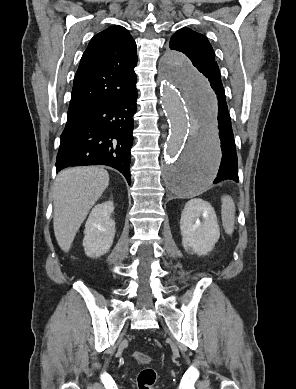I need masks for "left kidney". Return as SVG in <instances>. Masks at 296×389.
I'll return each mask as SVG.
<instances>
[{"label": "left kidney", "instance_id": "5707ae66", "mask_svg": "<svg viewBox=\"0 0 296 389\" xmlns=\"http://www.w3.org/2000/svg\"><path fill=\"white\" fill-rule=\"evenodd\" d=\"M180 231L185 252L207 255L220 237L214 208L199 198L188 201L181 213Z\"/></svg>", "mask_w": 296, "mask_h": 389}]
</instances>
